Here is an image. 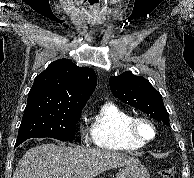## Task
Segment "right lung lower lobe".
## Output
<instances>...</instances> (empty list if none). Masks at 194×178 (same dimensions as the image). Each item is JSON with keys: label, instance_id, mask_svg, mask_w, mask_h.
I'll return each mask as SVG.
<instances>
[{"label": "right lung lower lobe", "instance_id": "obj_1", "mask_svg": "<svg viewBox=\"0 0 194 178\" xmlns=\"http://www.w3.org/2000/svg\"><path fill=\"white\" fill-rule=\"evenodd\" d=\"M25 140H17L16 141V144H15V147H17L18 145H20L22 142H24Z\"/></svg>", "mask_w": 194, "mask_h": 178}]
</instances>
